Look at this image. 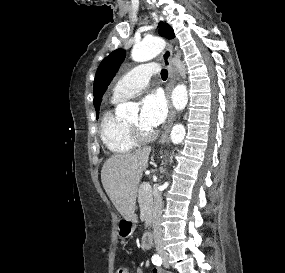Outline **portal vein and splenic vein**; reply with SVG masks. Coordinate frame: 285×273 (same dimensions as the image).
Returning <instances> with one entry per match:
<instances>
[{"instance_id": "1", "label": "portal vein and splenic vein", "mask_w": 285, "mask_h": 273, "mask_svg": "<svg viewBox=\"0 0 285 273\" xmlns=\"http://www.w3.org/2000/svg\"><path fill=\"white\" fill-rule=\"evenodd\" d=\"M143 189H144L145 191H149V190H151V186H150L149 184H144V185H143Z\"/></svg>"}]
</instances>
